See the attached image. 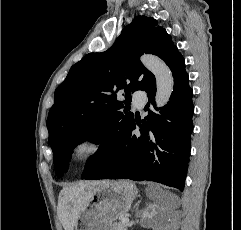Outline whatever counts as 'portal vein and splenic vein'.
<instances>
[{"mask_svg": "<svg viewBox=\"0 0 241 230\" xmlns=\"http://www.w3.org/2000/svg\"><path fill=\"white\" fill-rule=\"evenodd\" d=\"M122 223L128 224L129 223V219L127 217L122 218Z\"/></svg>", "mask_w": 241, "mask_h": 230, "instance_id": "1", "label": "portal vein and splenic vein"}]
</instances>
